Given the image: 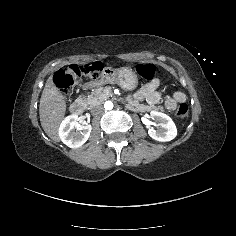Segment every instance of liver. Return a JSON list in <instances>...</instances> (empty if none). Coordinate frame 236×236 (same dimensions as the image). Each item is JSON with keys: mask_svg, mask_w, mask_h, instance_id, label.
I'll list each match as a JSON object with an SVG mask.
<instances>
[{"mask_svg": "<svg viewBox=\"0 0 236 236\" xmlns=\"http://www.w3.org/2000/svg\"><path fill=\"white\" fill-rule=\"evenodd\" d=\"M66 111L65 97L55 86L52 76L45 84L39 106L41 126L52 140L59 142V127Z\"/></svg>", "mask_w": 236, "mask_h": 236, "instance_id": "obj_1", "label": "liver"}]
</instances>
